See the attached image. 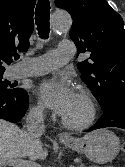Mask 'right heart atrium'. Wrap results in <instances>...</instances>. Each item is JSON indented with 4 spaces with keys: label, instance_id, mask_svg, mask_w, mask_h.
I'll return each instance as SVG.
<instances>
[{
    "label": "right heart atrium",
    "instance_id": "1",
    "mask_svg": "<svg viewBox=\"0 0 125 167\" xmlns=\"http://www.w3.org/2000/svg\"><path fill=\"white\" fill-rule=\"evenodd\" d=\"M30 113L33 117L37 119H42L45 116V109L42 104L40 103H35L31 108H30Z\"/></svg>",
    "mask_w": 125,
    "mask_h": 167
}]
</instances>
